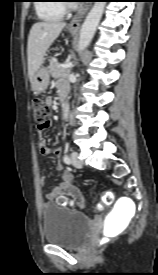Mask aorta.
I'll return each mask as SVG.
<instances>
[{"label":"aorta","mask_w":158,"mask_h":275,"mask_svg":"<svg viewBox=\"0 0 158 275\" xmlns=\"http://www.w3.org/2000/svg\"><path fill=\"white\" fill-rule=\"evenodd\" d=\"M105 8V2H95L90 12L86 16V19L81 27L78 50L83 51L91 42L96 28L101 20L103 11ZM64 118H67L69 112V106L67 103L63 104Z\"/></svg>","instance_id":"obj_1"}]
</instances>
